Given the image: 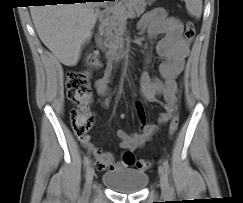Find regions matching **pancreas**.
<instances>
[{"label": "pancreas", "mask_w": 243, "mask_h": 203, "mask_svg": "<svg viewBox=\"0 0 243 203\" xmlns=\"http://www.w3.org/2000/svg\"><path fill=\"white\" fill-rule=\"evenodd\" d=\"M150 4V2H149ZM124 10V13H133L134 17H139L144 13L147 2L145 0H121L116 5ZM124 21L122 14L115 10L109 11V16L101 26V32L105 38V46L109 49L118 50L121 46V23Z\"/></svg>", "instance_id": "cf45deb5"}]
</instances>
